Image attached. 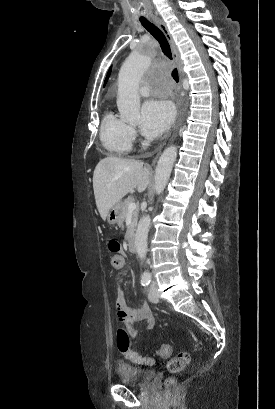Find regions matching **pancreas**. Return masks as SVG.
I'll use <instances>...</instances> for the list:
<instances>
[{
	"label": "pancreas",
	"mask_w": 275,
	"mask_h": 409,
	"mask_svg": "<svg viewBox=\"0 0 275 409\" xmlns=\"http://www.w3.org/2000/svg\"><path fill=\"white\" fill-rule=\"evenodd\" d=\"M133 200H134L133 196H128V198H125L124 202H122V213H121V215L119 217V221H118L119 227H122L123 221H125L126 215L128 213V207L130 205V202H133ZM138 213H139V209H135V211H133L132 223H131V225H129V227L127 229L125 239H129L130 235H133V233H134V231L136 229L137 221H138Z\"/></svg>",
	"instance_id": "1"
}]
</instances>
